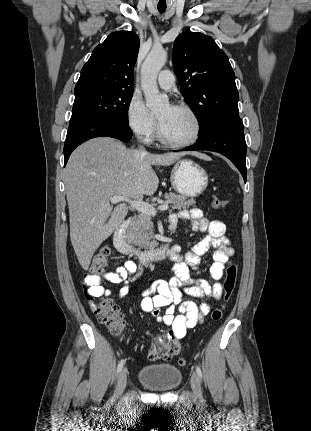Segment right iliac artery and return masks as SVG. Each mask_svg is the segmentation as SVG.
<instances>
[{
  "instance_id": "1",
  "label": "right iliac artery",
  "mask_w": 311,
  "mask_h": 431,
  "mask_svg": "<svg viewBox=\"0 0 311 431\" xmlns=\"http://www.w3.org/2000/svg\"><path fill=\"white\" fill-rule=\"evenodd\" d=\"M124 363H125V361H124V360H121V361L119 362L118 367H117V374H119V373L121 372V370H122V368H123Z\"/></svg>"
}]
</instances>
